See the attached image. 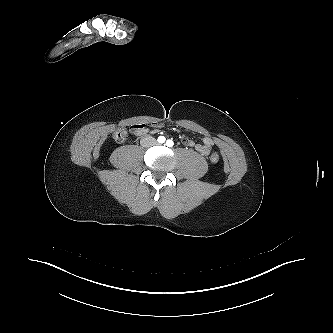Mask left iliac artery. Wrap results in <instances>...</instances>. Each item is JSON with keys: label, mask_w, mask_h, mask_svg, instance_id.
<instances>
[{"label": "left iliac artery", "mask_w": 333, "mask_h": 333, "mask_svg": "<svg viewBox=\"0 0 333 333\" xmlns=\"http://www.w3.org/2000/svg\"><path fill=\"white\" fill-rule=\"evenodd\" d=\"M166 145L168 146V147H172L173 145H174V142L172 141V140H167V142H166Z\"/></svg>", "instance_id": "obj_1"}]
</instances>
